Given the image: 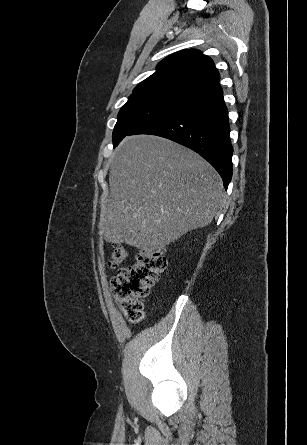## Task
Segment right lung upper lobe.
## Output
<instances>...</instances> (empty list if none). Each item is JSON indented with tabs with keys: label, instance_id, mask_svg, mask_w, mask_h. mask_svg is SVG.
I'll list each match as a JSON object with an SVG mask.
<instances>
[{
	"label": "right lung upper lobe",
	"instance_id": "cb5924a9",
	"mask_svg": "<svg viewBox=\"0 0 307 445\" xmlns=\"http://www.w3.org/2000/svg\"><path fill=\"white\" fill-rule=\"evenodd\" d=\"M213 61L198 50H182L163 59L157 71L138 84L131 96L161 95L190 99L219 84Z\"/></svg>",
	"mask_w": 307,
	"mask_h": 445
}]
</instances>
